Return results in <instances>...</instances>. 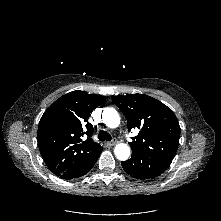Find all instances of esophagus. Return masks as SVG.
I'll return each instance as SVG.
<instances>
[{"instance_id": "esophagus-1", "label": "esophagus", "mask_w": 221, "mask_h": 221, "mask_svg": "<svg viewBox=\"0 0 221 221\" xmlns=\"http://www.w3.org/2000/svg\"><path fill=\"white\" fill-rule=\"evenodd\" d=\"M115 144H116V140H113V141L107 143L108 146H113Z\"/></svg>"}]
</instances>
